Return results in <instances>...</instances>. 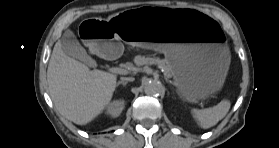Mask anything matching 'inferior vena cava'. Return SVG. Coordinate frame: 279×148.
<instances>
[{"mask_svg":"<svg viewBox=\"0 0 279 148\" xmlns=\"http://www.w3.org/2000/svg\"><path fill=\"white\" fill-rule=\"evenodd\" d=\"M121 80L128 82V81H134V78L133 77H122Z\"/></svg>","mask_w":279,"mask_h":148,"instance_id":"inferior-vena-cava-1","label":"inferior vena cava"}]
</instances>
